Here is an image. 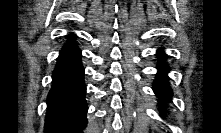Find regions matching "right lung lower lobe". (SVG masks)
<instances>
[{
    "instance_id": "right-lung-lower-lobe-1",
    "label": "right lung lower lobe",
    "mask_w": 221,
    "mask_h": 133,
    "mask_svg": "<svg viewBox=\"0 0 221 133\" xmlns=\"http://www.w3.org/2000/svg\"><path fill=\"white\" fill-rule=\"evenodd\" d=\"M85 93L81 50L69 39L60 51L53 72L45 133H82L87 124Z\"/></svg>"
}]
</instances>
